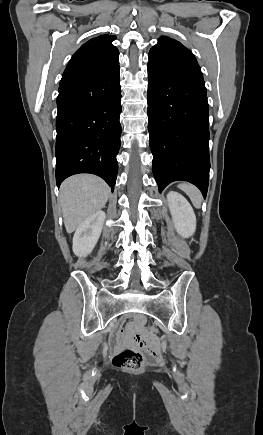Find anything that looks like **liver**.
Returning a JSON list of instances; mask_svg holds the SVG:
<instances>
[{
	"instance_id": "obj_1",
	"label": "liver",
	"mask_w": 263,
	"mask_h": 435,
	"mask_svg": "<svg viewBox=\"0 0 263 435\" xmlns=\"http://www.w3.org/2000/svg\"><path fill=\"white\" fill-rule=\"evenodd\" d=\"M109 192V186L97 176L79 174L67 178L60 187L66 231L72 233L85 219L101 210Z\"/></svg>"
}]
</instances>
